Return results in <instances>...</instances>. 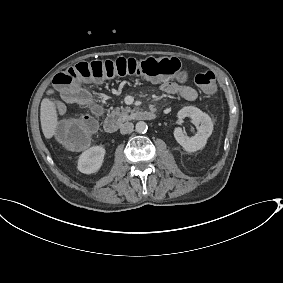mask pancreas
Returning a JSON list of instances; mask_svg holds the SVG:
<instances>
[{"label": "pancreas", "mask_w": 283, "mask_h": 283, "mask_svg": "<svg viewBox=\"0 0 283 283\" xmlns=\"http://www.w3.org/2000/svg\"><path fill=\"white\" fill-rule=\"evenodd\" d=\"M112 113L116 116L119 117V119L124 122V121H127V120H131V119H134L135 118V115L137 113V109H130V108H127V107H116Z\"/></svg>", "instance_id": "pancreas-1"}]
</instances>
